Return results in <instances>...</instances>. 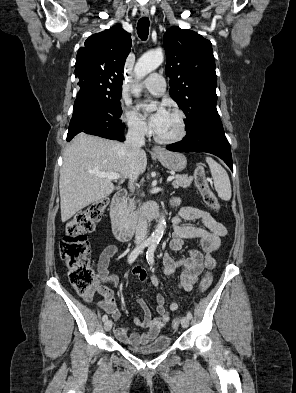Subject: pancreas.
<instances>
[{
    "label": "pancreas",
    "instance_id": "pancreas-1",
    "mask_svg": "<svg viewBox=\"0 0 296 393\" xmlns=\"http://www.w3.org/2000/svg\"><path fill=\"white\" fill-rule=\"evenodd\" d=\"M193 178L188 177L187 175H177L175 180L172 182V185L175 189L182 187L188 188L192 183ZM135 202L134 200H129L123 205V219L127 224H134L137 221V212L135 211Z\"/></svg>",
    "mask_w": 296,
    "mask_h": 393
}]
</instances>
